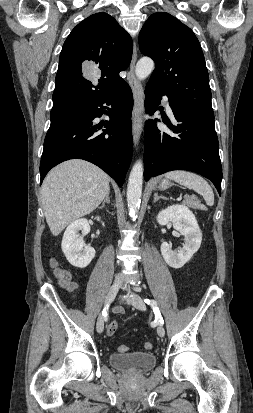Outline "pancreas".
Wrapping results in <instances>:
<instances>
[{"label": "pancreas", "mask_w": 253, "mask_h": 413, "mask_svg": "<svg viewBox=\"0 0 253 413\" xmlns=\"http://www.w3.org/2000/svg\"><path fill=\"white\" fill-rule=\"evenodd\" d=\"M183 203L193 209H199L202 207L200 201L196 197H193V196L187 197Z\"/></svg>", "instance_id": "1"}]
</instances>
